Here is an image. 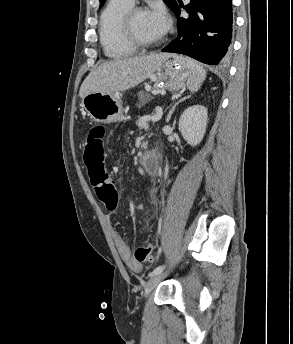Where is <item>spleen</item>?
Returning <instances> with one entry per match:
<instances>
[{
  "mask_svg": "<svg viewBox=\"0 0 293 344\" xmlns=\"http://www.w3.org/2000/svg\"><path fill=\"white\" fill-rule=\"evenodd\" d=\"M179 60L185 62L192 70V75L187 82V88L191 92L199 90L201 84L206 78V70L196 61L190 58L177 57Z\"/></svg>",
  "mask_w": 293,
  "mask_h": 344,
  "instance_id": "1",
  "label": "spleen"
}]
</instances>
